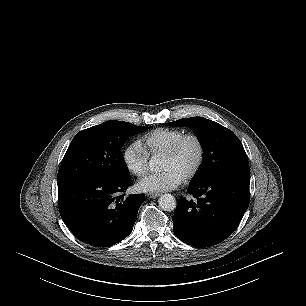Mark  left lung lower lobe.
I'll use <instances>...</instances> for the list:
<instances>
[{
    "label": "left lung lower lobe",
    "mask_w": 306,
    "mask_h": 306,
    "mask_svg": "<svg viewBox=\"0 0 306 306\" xmlns=\"http://www.w3.org/2000/svg\"><path fill=\"white\" fill-rule=\"evenodd\" d=\"M249 172H229L191 183L188 193L197 202L180 198L173 230L184 243L210 247L229 237L240 223L250 202Z\"/></svg>",
    "instance_id": "obj_1"
}]
</instances>
